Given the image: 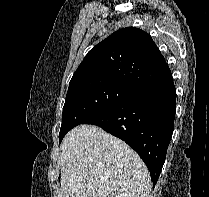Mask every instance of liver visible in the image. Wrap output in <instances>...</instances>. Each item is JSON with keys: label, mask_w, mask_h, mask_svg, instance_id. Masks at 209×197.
Wrapping results in <instances>:
<instances>
[{"label": "liver", "mask_w": 209, "mask_h": 197, "mask_svg": "<svg viewBox=\"0 0 209 197\" xmlns=\"http://www.w3.org/2000/svg\"><path fill=\"white\" fill-rule=\"evenodd\" d=\"M60 149L59 197H148L151 178L145 163L100 127L73 128Z\"/></svg>", "instance_id": "6515ba94"}]
</instances>
